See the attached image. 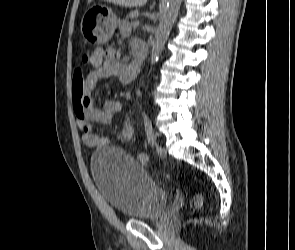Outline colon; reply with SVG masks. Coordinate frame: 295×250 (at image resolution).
<instances>
[{"mask_svg": "<svg viewBox=\"0 0 295 250\" xmlns=\"http://www.w3.org/2000/svg\"><path fill=\"white\" fill-rule=\"evenodd\" d=\"M92 59V52L91 51H86L82 55V61L85 63H89L90 60ZM203 205V198L200 194H196L193 197V207L194 210H198L202 207Z\"/></svg>", "mask_w": 295, "mask_h": 250, "instance_id": "1", "label": "colon"}]
</instances>
